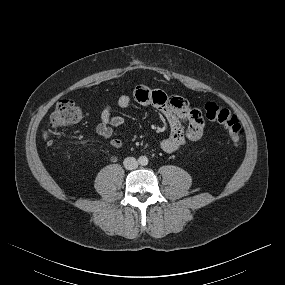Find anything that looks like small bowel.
Instances as JSON below:
<instances>
[{
	"label": "small bowel",
	"mask_w": 285,
	"mask_h": 285,
	"mask_svg": "<svg viewBox=\"0 0 285 285\" xmlns=\"http://www.w3.org/2000/svg\"><path fill=\"white\" fill-rule=\"evenodd\" d=\"M133 99L141 105L158 109L168 121L170 134L158 142L162 151L174 153L187 141H197L202 137L205 126L203 115L198 108L191 106L184 98L168 96L161 90H153L145 85H139L134 89L132 96L122 94L117 100V105L121 109H127ZM181 121L186 122V127H183ZM125 124V119L114 115L112 106L107 105L101 112L96 132L109 139L114 149H120L122 142L117 137L116 129L125 126Z\"/></svg>",
	"instance_id": "c3829d8e"
}]
</instances>
